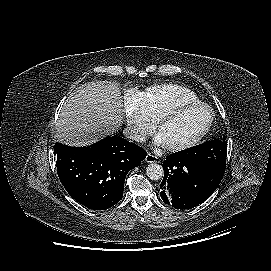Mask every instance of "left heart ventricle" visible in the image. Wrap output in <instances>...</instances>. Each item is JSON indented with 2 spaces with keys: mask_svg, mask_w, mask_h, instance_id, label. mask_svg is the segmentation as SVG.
Masks as SVG:
<instances>
[{
  "mask_svg": "<svg viewBox=\"0 0 271 271\" xmlns=\"http://www.w3.org/2000/svg\"><path fill=\"white\" fill-rule=\"evenodd\" d=\"M208 119L209 111L203 106H197L164 121L159 134L166 146L182 144L196 136Z\"/></svg>",
  "mask_w": 271,
  "mask_h": 271,
  "instance_id": "obj_1",
  "label": "left heart ventricle"
}]
</instances>
